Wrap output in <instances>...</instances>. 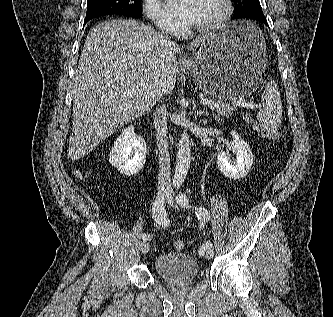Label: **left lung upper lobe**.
<instances>
[{
  "label": "left lung upper lobe",
  "mask_w": 333,
  "mask_h": 317,
  "mask_svg": "<svg viewBox=\"0 0 333 317\" xmlns=\"http://www.w3.org/2000/svg\"><path fill=\"white\" fill-rule=\"evenodd\" d=\"M235 10L233 16L242 13H250L254 11H262L259 0H233Z\"/></svg>",
  "instance_id": "5c2ea615"
}]
</instances>
